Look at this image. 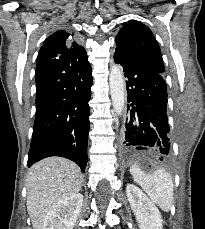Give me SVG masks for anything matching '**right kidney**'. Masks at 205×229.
Returning a JSON list of instances; mask_svg holds the SVG:
<instances>
[{
  "label": "right kidney",
  "instance_id": "1",
  "mask_svg": "<svg viewBox=\"0 0 205 229\" xmlns=\"http://www.w3.org/2000/svg\"><path fill=\"white\" fill-rule=\"evenodd\" d=\"M82 204L83 195L80 193L59 200L49 210L43 229H73Z\"/></svg>",
  "mask_w": 205,
  "mask_h": 229
}]
</instances>
